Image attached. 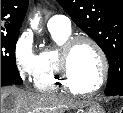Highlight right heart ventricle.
<instances>
[{
    "instance_id": "1",
    "label": "right heart ventricle",
    "mask_w": 123,
    "mask_h": 113,
    "mask_svg": "<svg viewBox=\"0 0 123 113\" xmlns=\"http://www.w3.org/2000/svg\"><path fill=\"white\" fill-rule=\"evenodd\" d=\"M50 33L56 46L45 48L38 54L37 69L33 79L34 86L41 92H54L63 88L77 93L66 85L59 70L60 48L71 36V32L53 30Z\"/></svg>"
}]
</instances>
